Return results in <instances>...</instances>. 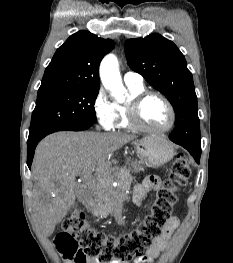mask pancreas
<instances>
[{"instance_id": "1", "label": "pancreas", "mask_w": 233, "mask_h": 263, "mask_svg": "<svg viewBox=\"0 0 233 263\" xmlns=\"http://www.w3.org/2000/svg\"><path fill=\"white\" fill-rule=\"evenodd\" d=\"M115 181L118 183L116 188L97 187V204L91 209L94 216L106 218L127 197L126 191L131 186L133 181L132 176L126 171L120 170L116 174Z\"/></svg>"}]
</instances>
